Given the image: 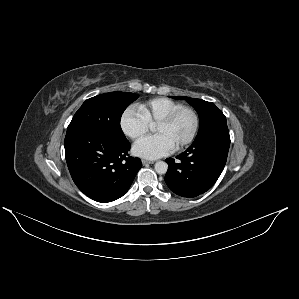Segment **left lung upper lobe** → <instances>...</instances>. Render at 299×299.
<instances>
[{
	"mask_svg": "<svg viewBox=\"0 0 299 299\" xmlns=\"http://www.w3.org/2000/svg\"><path fill=\"white\" fill-rule=\"evenodd\" d=\"M172 98L185 99L197 111L200 127L195 141L214 131L228 130L226 117L214 103L183 96H172Z\"/></svg>",
	"mask_w": 299,
	"mask_h": 299,
	"instance_id": "obj_1",
	"label": "left lung upper lobe"
}]
</instances>
